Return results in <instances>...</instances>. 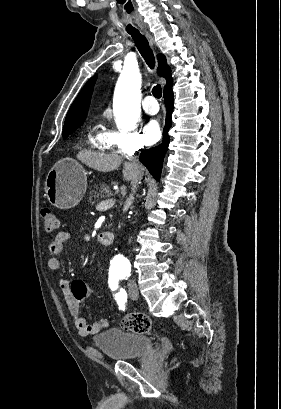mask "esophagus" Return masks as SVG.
Wrapping results in <instances>:
<instances>
[{
  "label": "esophagus",
  "instance_id": "esophagus-1",
  "mask_svg": "<svg viewBox=\"0 0 281 409\" xmlns=\"http://www.w3.org/2000/svg\"><path fill=\"white\" fill-rule=\"evenodd\" d=\"M146 36L149 38L150 43L152 44L153 42H152V38L150 37V35L148 33H146Z\"/></svg>",
  "mask_w": 281,
  "mask_h": 409
}]
</instances>
